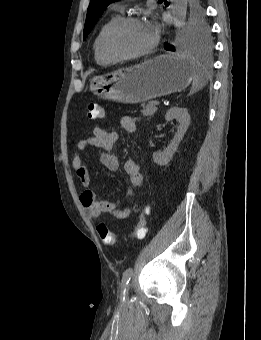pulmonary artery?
<instances>
[{"instance_id":"pulmonary-artery-1","label":"pulmonary artery","mask_w":261,"mask_h":340,"mask_svg":"<svg viewBox=\"0 0 261 340\" xmlns=\"http://www.w3.org/2000/svg\"><path fill=\"white\" fill-rule=\"evenodd\" d=\"M117 9H118V10H122V7L119 6V7H117Z\"/></svg>"}]
</instances>
